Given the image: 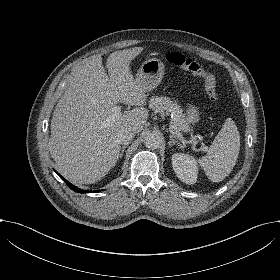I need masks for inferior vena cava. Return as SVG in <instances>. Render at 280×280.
I'll return each mask as SVG.
<instances>
[{
	"label": "inferior vena cava",
	"mask_w": 280,
	"mask_h": 280,
	"mask_svg": "<svg viewBox=\"0 0 280 280\" xmlns=\"http://www.w3.org/2000/svg\"><path fill=\"white\" fill-rule=\"evenodd\" d=\"M116 137L121 144L128 145L135 138L134 131L124 130L116 133Z\"/></svg>",
	"instance_id": "602c4592"
}]
</instances>
